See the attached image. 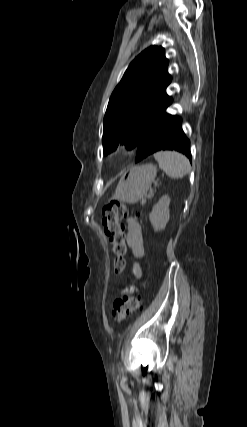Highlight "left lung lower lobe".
<instances>
[{"label":"left lung lower lobe","instance_id":"left-lung-lower-lobe-1","mask_svg":"<svg viewBox=\"0 0 247 427\" xmlns=\"http://www.w3.org/2000/svg\"><path fill=\"white\" fill-rule=\"evenodd\" d=\"M180 117L165 111L147 128L138 145L135 161L139 162L161 150H176L191 162L190 141L185 136Z\"/></svg>","mask_w":247,"mask_h":427}]
</instances>
